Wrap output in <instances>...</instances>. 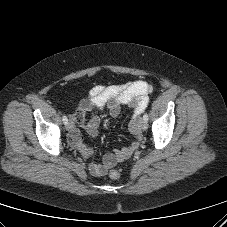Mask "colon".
<instances>
[{
	"label": "colon",
	"instance_id": "colon-1",
	"mask_svg": "<svg viewBox=\"0 0 227 227\" xmlns=\"http://www.w3.org/2000/svg\"><path fill=\"white\" fill-rule=\"evenodd\" d=\"M120 172L116 169H113L109 172V177L113 180H117L120 178Z\"/></svg>",
	"mask_w": 227,
	"mask_h": 227
}]
</instances>
